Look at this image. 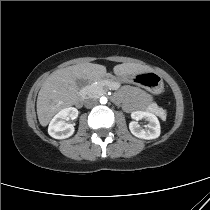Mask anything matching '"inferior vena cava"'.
Segmentation results:
<instances>
[{
    "label": "inferior vena cava",
    "instance_id": "obj_1",
    "mask_svg": "<svg viewBox=\"0 0 210 210\" xmlns=\"http://www.w3.org/2000/svg\"><path fill=\"white\" fill-rule=\"evenodd\" d=\"M84 105L86 108H92L95 105H97V100L95 98H89V99L85 100Z\"/></svg>",
    "mask_w": 210,
    "mask_h": 210
}]
</instances>
